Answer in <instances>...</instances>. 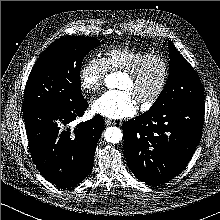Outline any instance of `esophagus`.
<instances>
[{
	"mask_svg": "<svg viewBox=\"0 0 220 220\" xmlns=\"http://www.w3.org/2000/svg\"><path fill=\"white\" fill-rule=\"evenodd\" d=\"M105 124L107 125V126H109V125H111V124H113L114 123V121H112V120H110V119H108V118H105Z\"/></svg>",
	"mask_w": 220,
	"mask_h": 220,
	"instance_id": "esophagus-1",
	"label": "esophagus"
}]
</instances>
